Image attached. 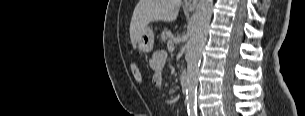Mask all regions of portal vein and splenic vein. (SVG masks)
Returning a JSON list of instances; mask_svg holds the SVG:
<instances>
[{
    "mask_svg": "<svg viewBox=\"0 0 305 116\" xmlns=\"http://www.w3.org/2000/svg\"><path fill=\"white\" fill-rule=\"evenodd\" d=\"M167 47H168L169 51H173L174 44H173V41L171 39L167 42Z\"/></svg>",
    "mask_w": 305,
    "mask_h": 116,
    "instance_id": "portal-vein-and-splenic-vein-1",
    "label": "portal vein and splenic vein"
}]
</instances>
